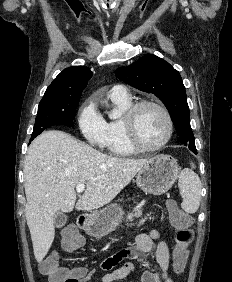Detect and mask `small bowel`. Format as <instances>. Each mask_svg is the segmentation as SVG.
Listing matches in <instances>:
<instances>
[{
    "label": "small bowel",
    "instance_id": "small-bowel-1",
    "mask_svg": "<svg viewBox=\"0 0 232 282\" xmlns=\"http://www.w3.org/2000/svg\"><path fill=\"white\" fill-rule=\"evenodd\" d=\"M154 252L159 271L145 269L141 273V282H173L170 272V252L166 242L162 239L157 230H151L149 233L138 234L135 237V246L122 250L105 260L99 267L101 270L110 271L100 277V282H114L122 280L132 273L136 272L135 265L132 262L122 263L124 259H136L143 261L146 255ZM57 257L56 254H51ZM68 273L78 277V282H88L93 277L95 270H86L84 268H75L68 270ZM49 282H52L49 279Z\"/></svg>",
    "mask_w": 232,
    "mask_h": 282
}]
</instances>
